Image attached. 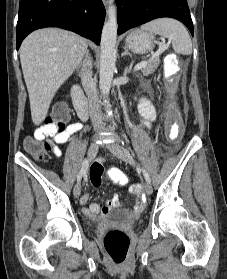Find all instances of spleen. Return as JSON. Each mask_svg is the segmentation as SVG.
<instances>
[{"label": "spleen", "mask_w": 227, "mask_h": 279, "mask_svg": "<svg viewBox=\"0 0 227 279\" xmlns=\"http://www.w3.org/2000/svg\"><path fill=\"white\" fill-rule=\"evenodd\" d=\"M141 29L170 39L176 53L183 55H190L192 53V42L187 30L180 22L174 19H156L142 25Z\"/></svg>", "instance_id": "spleen-1"}]
</instances>
